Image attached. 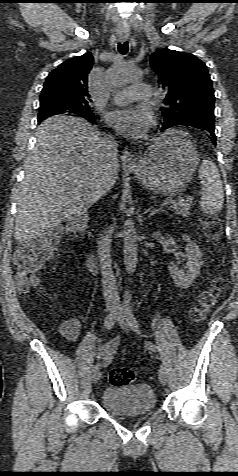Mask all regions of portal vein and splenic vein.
Masks as SVG:
<instances>
[{
	"instance_id": "portal-vein-and-splenic-vein-1",
	"label": "portal vein and splenic vein",
	"mask_w": 238,
	"mask_h": 476,
	"mask_svg": "<svg viewBox=\"0 0 238 476\" xmlns=\"http://www.w3.org/2000/svg\"><path fill=\"white\" fill-rule=\"evenodd\" d=\"M173 203H174L173 199H168V200H165L164 202H162V205L166 206V205H170V204H173Z\"/></svg>"
}]
</instances>
